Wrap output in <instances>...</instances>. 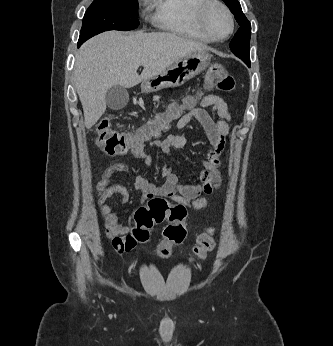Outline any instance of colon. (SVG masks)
I'll use <instances>...</instances> for the list:
<instances>
[{
  "mask_svg": "<svg viewBox=\"0 0 333 346\" xmlns=\"http://www.w3.org/2000/svg\"><path fill=\"white\" fill-rule=\"evenodd\" d=\"M209 80L222 92L230 93L235 86L234 78L219 65H212L208 72ZM194 106L192 97H185L179 103H170L164 111L156 113L142 126L134 131H118L112 127L110 119L99 122L96 141L98 146L109 155L126 154L144 147L153 139L168 130L171 123L179 119L184 110ZM186 209L177 204H170L162 198H153L146 205L140 206L134 213L135 225L132 228L136 236V244L146 242L150 237V229L168 221L170 224L164 230V239L157 245V252L167 257L173 247L182 244L187 230L184 225ZM215 232L207 230L198 237L193 249L194 261L203 259L214 248Z\"/></svg>",
  "mask_w": 333,
  "mask_h": 346,
  "instance_id": "1",
  "label": "colon"
}]
</instances>
